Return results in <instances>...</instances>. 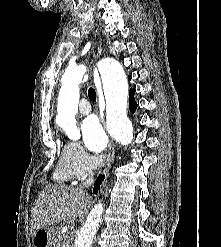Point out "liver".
Wrapping results in <instances>:
<instances>
[{"label":"liver","mask_w":221,"mask_h":247,"mask_svg":"<svg viewBox=\"0 0 221 247\" xmlns=\"http://www.w3.org/2000/svg\"><path fill=\"white\" fill-rule=\"evenodd\" d=\"M89 201L80 188L47 185L35 200L32 208L31 234L62 221L74 223L86 209Z\"/></svg>","instance_id":"1"}]
</instances>
